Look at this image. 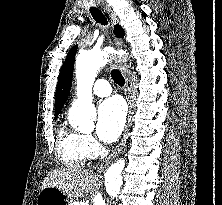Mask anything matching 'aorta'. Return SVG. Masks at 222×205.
<instances>
[{
    "label": "aorta",
    "instance_id": "762f6f07",
    "mask_svg": "<svg viewBox=\"0 0 222 205\" xmlns=\"http://www.w3.org/2000/svg\"><path fill=\"white\" fill-rule=\"evenodd\" d=\"M106 51H83L76 61L77 99L69 110L70 124L82 132L94 129L96 109L92 104V87L98 71L107 63ZM127 162L120 159L106 171L101 189L96 193L94 205L115 203L125 185Z\"/></svg>",
    "mask_w": 222,
    "mask_h": 205
}]
</instances>
